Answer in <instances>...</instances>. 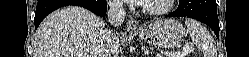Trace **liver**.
I'll return each mask as SVG.
<instances>
[{
    "label": "liver",
    "instance_id": "6515ba94",
    "mask_svg": "<svg viewBox=\"0 0 249 57\" xmlns=\"http://www.w3.org/2000/svg\"><path fill=\"white\" fill-rule=\"evenodd\" d=\"M105 31L104 21L91 11L78 6L61 8L49 15L37 29L34 57L117 55L118 52L112 54L104 49L102 36ZM117 40L119 43L118 37Z\"/></svg>",
    "mask_w": 249,
    "mask_h": 57
}]
</instances>
